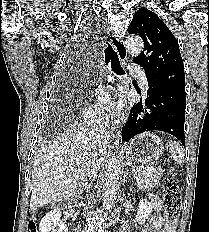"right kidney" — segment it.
I'll list each match as a JSON object with an SVG mask.
<instances>
[{"mask_svg": "<svg viewBox=\"0 0 209 232\" xmlns=\"http://www.w3.org/2000/svg\"><path fill=\"white\" fill-rule=\"evenodd\" d=\"M61 211L56 208L48 212L40 221V232H68V227L60 222Z\"/></svg>", "mask_w": 209, "mask_h": 232, "instance_id": "1", "label": "right kidney"}]
</instances>
